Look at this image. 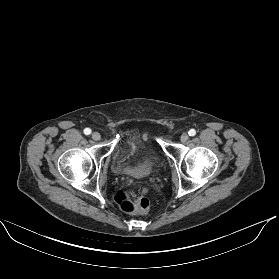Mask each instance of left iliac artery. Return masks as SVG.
Segmentation results:
<instances>
[{"label": "left iliac artery", "instance_id": "44dca946", "mask_svg": "<svg viewBox=\"0 0 279 279\" xmlns=\"http://www.w3.org/2000/svg\"><path fill=\"white\" fill-rule=\"evenodd\" d=\"M188 134H189L190 136H195V134H196L195 129H190L189 132H188Z\"/></svg>", "mask_w": 279, "mask_h": 279}]
</instances>
